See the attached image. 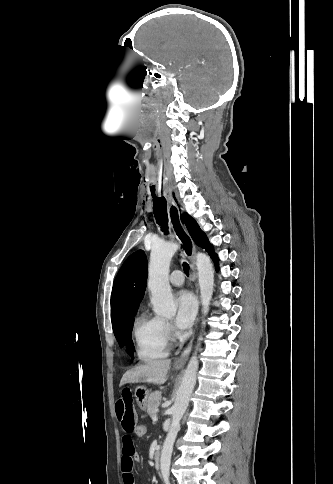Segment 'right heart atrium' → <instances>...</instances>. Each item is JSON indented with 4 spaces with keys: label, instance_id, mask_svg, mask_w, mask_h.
<instances>
[{
    "label": "right heart atrium",
    "instance_id": "d8ad5b80",
    "mask_svg": "<svg viewBox=\"0 0 333 484\" xmlns=\"http://www.w3.org/2000/svg\"><path fill=\"white\" fill-rule=\"evenodd\" d=\"M165 331L167 339H171L173 335V328L169 322L165 321Z\"/></svg>",
    "mask_w": 333,
    "mask_h": 484
}]
</instances>
